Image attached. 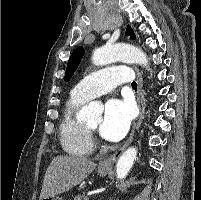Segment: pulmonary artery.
Segmentation results:
<instances>
[{
	"instance_id": "pulmonary-artery-1",
	"label": "pulmonary artery",
	"mask_w": 201,
	"mask_h": 200,
	"mask_svg": "<svg viewBox=\"0 0 201 200\" xmlns=\"http://www.w3.org/2000/svg\"><path fill=\"white\" fill-rule=\"evenodd\" d=\"M133 78L127 66L109 67L84 77L73 88L72 94L89 100L110 92L121 83H129Z\"/></svg>"
}]
</instances>
